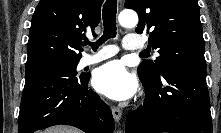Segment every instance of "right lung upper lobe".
Segmentation results:
<instances>
[{"instance_id": "right-lung-upper-lobe-1", "label": "right lung upper lobe", "mask_w": 221, "mask_h": 133, "mask_svg": "<svg viewBox=\"0 0 221 133\" xmlns=\"http://www.w3.org/2000/svg\"><path fill=\"white\" fill-rule=\"evenodd\" d=\"M103 0H40L27 45L26 70L78 62L84 32L100 22Z\"/></svg>"}]
</instances>
